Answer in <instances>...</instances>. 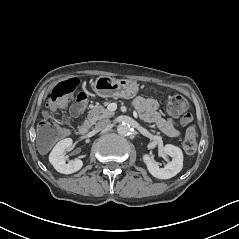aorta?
<instances>
[{
	"mask_svg": "<svg viewBox=\"0 0 239 239\" xmlns=\"http://www.w3.org/2000/svg\"><path fill=\"white\" fill-rule=\"evenodd\" d=\"M117 132L120 135H128L130 133V126L125 123H122L117 127Z\"/></svg>",
	"mask_w": 239,
	"mask_h": 239,
	"instance_id": "762f6f07",
	"label": "aorta"
}]
</instances>
